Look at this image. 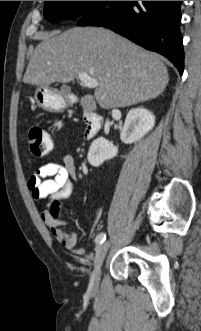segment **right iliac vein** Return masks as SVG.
<instances>
[{"label": "right iliac vein", "mask_w": 201, "mask_h": 331, "mask_svg": "<svg viewBox=\"0 0 201 331\" xmlns=\"http://www.w3.org/2000/svg\"><path fill=\"white\" fill-rule=\"evenodd\" d=\"M109 246L110 243L106 241L101 245H99L96 249L94 269L91 274L90 283H89V291L92 293L96 292L98 289L100 277H101V267L105 259V256L107 254V251L109 249Z\"/></svg>", "instance_id": "right-iliac-vein-1"}]
</instances>
